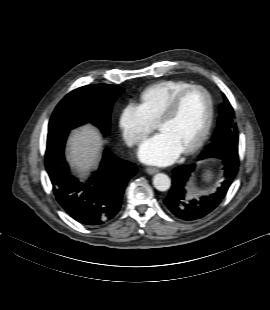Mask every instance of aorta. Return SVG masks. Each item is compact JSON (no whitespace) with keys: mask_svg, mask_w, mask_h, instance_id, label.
<instances>
[{"mask_svg":"<svg viewBox=\"0 0 270 310\" xmlns=\"http://www.w3.org/2000/svg\"><path fill=\"white\" fill-rule=\"evenodd\" d=\"M153 185L159 191H167L170 188V178L164 173H158L153 177Z\"/></svg>","mask_w":270,"mask_h":310,"instance_id":"762f6f07","label":"aorta"}]
</instances>
